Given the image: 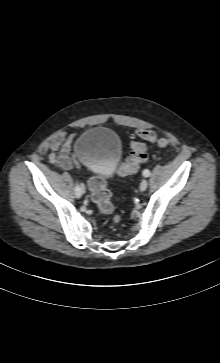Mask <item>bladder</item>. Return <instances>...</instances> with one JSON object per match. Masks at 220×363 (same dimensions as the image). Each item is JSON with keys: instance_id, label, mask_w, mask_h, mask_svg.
Returning <instances> with one entry per match:
<instances>
[{"instance_id": "31cf9c89", "label": "bladder", "mask_w": 220, "mask_h": 363, "mask_svg": "<svg viewBox=\"0 0 220 363\" xmlns=\"http://www.w3.org/2000/svg\"><path fill=\"white\" fill-rule=\"evenodd\" d=\"M79 160L90 170L109 174L122 157L118 135L106 127H92L82 132L74 144Z\"/></svg>"}]
</instances>
